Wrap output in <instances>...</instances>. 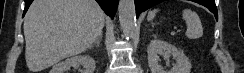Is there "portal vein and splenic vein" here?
Segmentation results:
<instances>
[{"mask_svg":"<svg viewBox=\"0 0 244 73\" xmlns=\"http://www.w3.org/2000/svg\"><path fill=\"white\" fill-rule=\"evenodd\" d=\"M175 34H176V32H175V31L171 32V35H175Z\"/></svg>","mask_w":244,"mask_h":73,"instance_id":"18ae733b","label":"portal vein and splenic vein"}]
</instances>
